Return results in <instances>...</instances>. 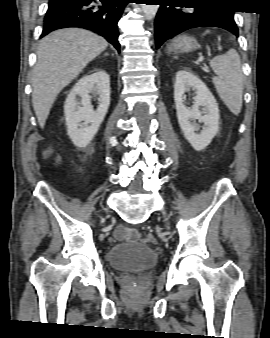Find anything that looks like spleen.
I'll use <instances>...</instances> for the list:
<instances>
[{
	"mask_svg": "<svg viewBox=\"0 0 270 338\" xmlns=\"http://www.w3.org/2000/svg\"><path fill=\"white\" fill-rule=\"evenodd\" d=\"M210 66L217 74L212 78L218 95L235 115L242 108L243 74L240 56L235 49H230L223 55H218L210 61Z\"/></svg>",
	"mask_w": 270,
	"mask_h": 338,
	"instance_id": "3e777b00",
	"label": "spleen"
}]
</instances>
